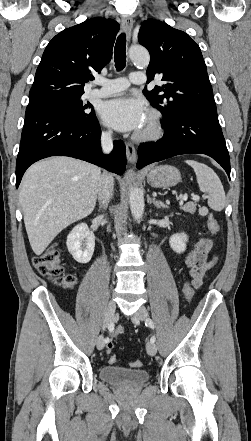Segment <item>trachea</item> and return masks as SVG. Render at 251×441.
<instances>
[{"label":"trachea","mask_w":251,"mask_h":441,"mask_svg":"<svg viewBox=\"0 0 251 441\" xmlns=\"http://www.w3.org/2000/svg\"><path fill=\"white\" fill-rule=\"evenodd\" d=\"M115 67L118 71L123 70L126 64V35L121 33L114 48Z\"/></svg>","instance_id":"obj_1"}]
</instances>
